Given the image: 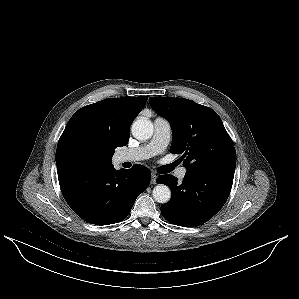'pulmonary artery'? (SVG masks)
Wrapping results in <instances>:
<instances>
[{
  "label": "pulmonary artery",
  "mask_w": 299,
  "mask_h": 299,
  "mask_svg": "<svg viewBox=\"0 0 299 299\" xmlns=\"http://www.w3.org/2000/svg\"><path fill=\"white\" fill-rule=\"evenodd\" d=\"M171 138V125L168 120L157 117L154 120V132L151 140L144 145L128 149L119 154L120 162H135L149 159L157 154L162 153L168 146ZM186 168L181 167L176 171L178 178H184Z\"/></svg>",
  "instance_id": "e3ab8cb5"
}]
</instances>
